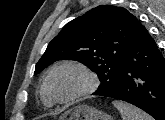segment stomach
I'll return each mask as SVG.
<instances>
[{"instance_id": "1", "label": "stomach", "mask_w": 165, "mask_h": 120, "mask_svg": "<svg viewBox=\"0 0 165 120\" xmlns=\"http://www.w3.org/2000/svg\"><path fill=\"white\" fill-rule=\"evenodd\" d=\"M59 120H112V117L89 105H78L66 111Z\"/></svg>"}]
</instances>
